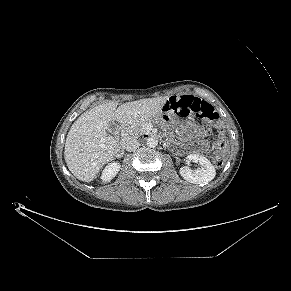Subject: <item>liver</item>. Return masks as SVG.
<instances>
[{
  "instance_id": "6515ba94",
  "label": "liver",
  "mask_w": 291,
  "mask_h": 291,
  "mask_svg": "<svg viewBox=\"0 0 291 291\" xmlns=\"http://www.w3.org/2000/svg\"><path fill=\"white\" fill-rule=\"evenodd\" d=\"M168 99V96L146 98L119 107L117 101H109L84 112L66 138L64 158L68 169L77 179L92 181L117 152L116 139L107 134L111 122L132 125L150 121L162 112Z\"/></svg>"
}]
</instances>
